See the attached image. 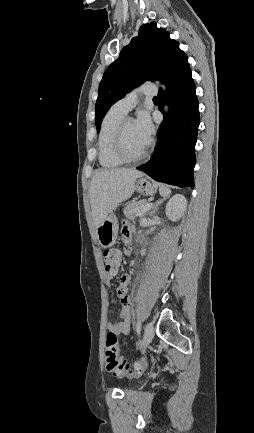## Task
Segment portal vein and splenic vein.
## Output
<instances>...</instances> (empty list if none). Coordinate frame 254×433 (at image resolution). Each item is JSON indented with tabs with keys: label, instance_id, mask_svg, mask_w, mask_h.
<instances>
[{
	"label": "portal vein and splenic vein",
	"instance_id": "obj_1",
	"mask_svg": "<svg viewBox=\"0 0 254 433\" xmlns=\"http://www.w3.org/2000/svg\"><path fill=\"white\" fill-rule=\"evenodd\" d=\"M152 205H153L152 203H148L146 206L141 208V210L138 212V215L145 213L148 209H150L152 207Z\"/></svg>",
	"mask_w": 254,
	"mask_h": 433
}]
</instances>
